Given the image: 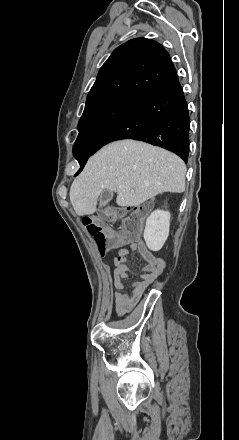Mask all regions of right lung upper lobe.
Instances as JSON below:
<instances>
[{"mask_svg":"<svg viewBox=\"0 0 239 440\" xmlns=\"http://www.w3.org/2000/svg\"><path fill=\"white\" fill-rule=\"evenodd\" d=\"M174 65L159 43L135 38L116 48L101 67L85 108L117 97H137L162 80Z\"/></svg>","mask_w":239,"mask_h":440,"instance_id":"obj_1","label":"right lung upper lobe"}]
</instances>
